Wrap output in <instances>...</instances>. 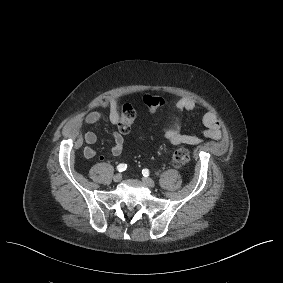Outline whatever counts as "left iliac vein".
Instances as JSON below:
<instances>
[{
    "mask_svg": "<svg viewBox=\"0 0 283 283\" xmlns=\"http://www.w3.org/2000/svg\"><path fill=\"white\" fill-rule=\"evenodd\" d=\"M142 181L149 188H153L155 186V182L151 178L143 177Z\"/></svg>",
    "mask_w": 283,
    "mask_h": 283,
    "instance_id": "1",
    "label": "left iliac vein"
}]
</instances>
